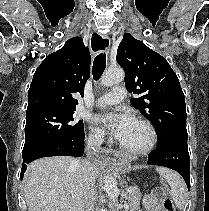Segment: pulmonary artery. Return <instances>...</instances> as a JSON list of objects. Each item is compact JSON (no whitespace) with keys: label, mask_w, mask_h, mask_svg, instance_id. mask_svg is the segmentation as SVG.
I'll list each match as a JSON object with an SVG mask.
<instances>
[{"label":"pulmonary artery","mask_w":209,"mask_h":211,"mask_svg":"<svg viewBox=\"0 0 209 211\" xmlns=\"http://www.w3.org/2000/svg\"><path fill=\"white\" fill-rule=\"evenodd\" d=\"M126 97V89L123 86H116L110 92L100 96L96 102L99 105H116Z\"/></svg>","instance_id":"obj_1"}]
</instances>
